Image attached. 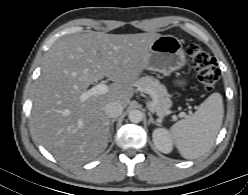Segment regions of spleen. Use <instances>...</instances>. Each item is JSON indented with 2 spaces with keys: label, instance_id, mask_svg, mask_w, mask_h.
Here are the masks:
<instances>
[{
  "label": "spleen",
  "instance_id": "1",
  "mask_svg": "<svg viewBox=\"0 0 248 195\" xmlns=\"http://www.w3.org/2000/svg\"><path fill=\"white\" fill-rule=\"evenodd\" d=\"M224 107L219 93L211 94L189 118L170 128V136L182 157L196 159L213 146L222 125Z\"/></svg>",
  "mask_w": 248,
  "mask_h": 195
}]
</instances>
